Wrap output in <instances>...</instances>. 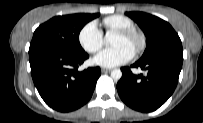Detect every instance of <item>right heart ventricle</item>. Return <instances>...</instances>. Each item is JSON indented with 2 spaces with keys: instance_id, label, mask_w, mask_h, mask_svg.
Returning a JSON list of instances; mask_svg holds the SVG:
<instances>
[{
  "instance_id": "right-heart-ventricle-1",
  "label": "right heart ventricle",
  "mask_w": 203,
  "mask_h": 123,
  "mask_svg": "<svg viewBox=\"0 0 203 123\" xmlns=\"http://www.w3.org/2000/svg\"><path fill=\"white\" fill-rule=\"evenodd\" d=\"M103 24L108 32H115L121 29L134 28L133 21L123 15L108 16L103 20Z\"/></svg>"
}]
</instances>
